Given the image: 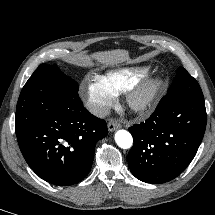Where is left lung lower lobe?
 Listing matches in <instances>:
<instances>
[{
  "instance_id": "left-lung-lower-lobe-1",
  "label": "left lung lower lobe",
  "mask_w": 215,
  "mask_h": 215,
  "mask_svg": "<svg viewBox=\"0 0 215 215\" xmlns=\"http://www.w3.org/2000/svg\"><path fill=\"white\" fill-rule=\"evenodd\" d=\"M205 128L204 98L167 93L149 119L129 128L132 174L153 184L176 178L195 157Z\"/></svg>"
}]
</instances>
